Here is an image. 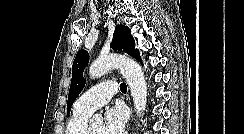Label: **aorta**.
Here are the masks:
<instances>
[{"label": "aorta", "mask_w": 244, "mask_h": 134, "mask_svg": "<svg viewBox=\"0 0 244 134\" xmlns=\"http://www.w3.org/2000/svg\"><path fill=\"white\" fill-rule=\"evenodd\" d=\"M115 68H118L125 77L133 97L135 110L141 116L147 102V83L144 72L136 61L121 55L101 56L91 64L89 74L95 79ZM93 119L100 121L102 116L95 115Z\"/></svg>", "instance_id": "762f6f07"}]
</instances>
